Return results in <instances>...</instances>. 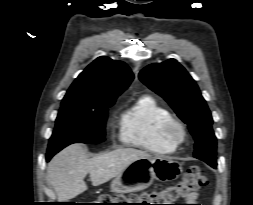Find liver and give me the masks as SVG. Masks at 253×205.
I'll list each match as a JSON object with an SVG mask.
<instances>
[{
    "label": "liver",
    "mask_w": 253,
    "mask_h": 205,
    "mask_svg": "<svg viewBox=\"0 0 253 205\" xmlns=\"http://www.w3.org/2000/svg\"><path fill=\"white\" fill-rule=\"evenodd\" d=\"M152 157L146 151L120 148L94 158L87 157L83 144H72L49 162L47 178L58 200H70L87 190L84 178L87 174L93 186H99L120 174L133 161Z\"/></svg>",
    "instance_id": "1"
}]
</instances>
